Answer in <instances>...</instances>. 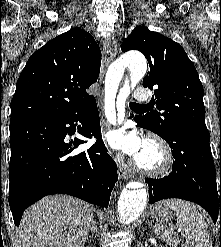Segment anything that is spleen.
Here are the masks:
<instances>
[{
  "label": "spleen",
  "instance_id": "1",
  "mask_svg": "<svg viewBox=\"0 0 221 247\" xmlns=\"http://www.w3.org/2000/svg\"><path fill=\"white\" fill-rule=\"evenodd\" d=\"M177 216V224L185 233L184 247H212L208 226L197 207L186 201L171 205ZM155 233L170 246H176L180 240L176 233L161 223L154 226Z\"/></svg>",
  "mask_w": 221,
  "mask_h": 247
}]
</instances>
